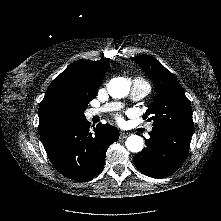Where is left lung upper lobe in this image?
I'll list each match as a JSON object with an SVG mask.
<instances>
[{"label": "left lung upper lobe", "mask_w": 221, "mask_h": 221, "mask_svg": "<svg viewBox=\"0 0 221 221\" xmlns=\"http://www.w3.org/2000/svg\"><path fill=\"white\" fill-rule=\"evenodd\" d=\"M155 84L154 102L143 115L153 121V128L192 132V110L188 98L176 80L158 60L149 56L132 57Z\"/></svg>", "instance_id": "left-lung-upper-lobe-1"}]
</instances>
